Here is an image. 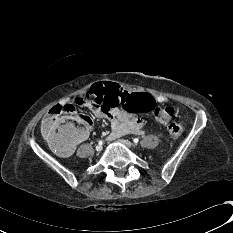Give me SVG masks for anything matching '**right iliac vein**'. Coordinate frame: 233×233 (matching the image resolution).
<instances>
[{"mask_svg":"<svg viewBox=\"0 0 233 233\" xmlns=\"http://www.w3.org/2000/svg\"><path fill=\"white\" fill-rule=\"evenodd\" d=\"M103 149L102 145H97L96 146V151L100 152Z\"/></svg>","mask_w":233,"mask_h":233,"instance_id":"63e3f726","label":"right iliac vein"}]
</instances>
